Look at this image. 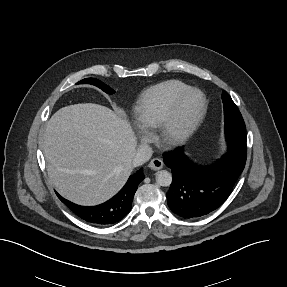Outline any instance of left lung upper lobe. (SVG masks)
I'll use <instances>...</instances> for the list:
<instances>
[{
    "label": "left lung upper lobe",
    "instance_id": "1",
    "mask_svg": "<svg viewBox=\"0 0 287 287\" xmlns=\"http://www.w3.org/2000/svg\"><path fill=\"white\" fill-rule=\"evenodd\" d=\"M222 100L224 105L225 130L232 128L246 129L240 111L226 91L222 92Z\"/></svg>",
    "mask_w": 287,
    "mask_h": 287
}]
</instances>
